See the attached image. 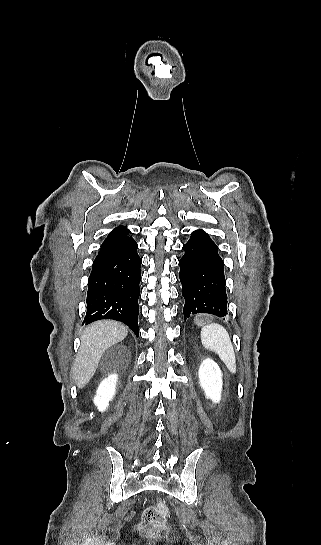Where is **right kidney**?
<instances>
[{
  "label": "right kidney",
  "instance_id": "right-kidney-1",
  "mask_svg": "<svg viewBox=\"0 0 321 545\" xmlns=\"http://www.w3.org/2000/svg\"><path fill=\"white\" fill-rule=\"evenodd\" d=\"M117 379L118 375H109L99 385L97 395L93 399V403L96 405L98 411H106L107 407H109V401H112L116 393Z\"/></svg>",
  "mask_w": 321,
  "mask_h": 545
}]
</instances>
